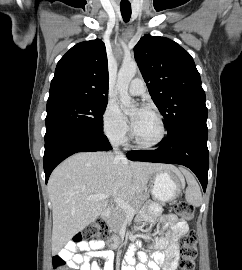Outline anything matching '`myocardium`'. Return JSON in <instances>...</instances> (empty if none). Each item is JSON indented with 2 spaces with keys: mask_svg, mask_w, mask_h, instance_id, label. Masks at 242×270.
Instances as JSON below:
<instances>
[{
  "mask_svg": "<svg viewBox=\"0 0 242 270\" xmlns=\"http://www.w3.org/2000/svg\"><path fill=\"white\" fill-rule=\"evenodd\" d=\"M148 112H150L151 114H153L156 117L158 124H159L160 133H159V136L156 140H154L153 142L146 143V142L139 141L135 136L134 129H132V131H131L132 142H133L134 146L139 148V149H154V148L160 146L164 142L166 135H167L166 125H165V122H164L162 115L158 111L153 110V109L148 110Z\"/></svg>",
  "mask_w": 242,
  "mask_h": 270,
  "instance_id": "f54148a6",
  "label": "myocardium"
}]
</instances>
